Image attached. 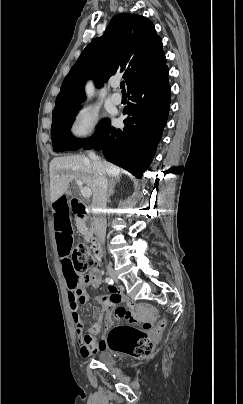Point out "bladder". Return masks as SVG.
Returning a JSON list of instances; mask_svg holds the SVG:
<instances>
[{"label":"bladder","instance_id":"31cf9c89","mask_svg":"<svg viewBox=\"0 0 243 404\" xmlns=\"http://www.w3.org/2000/svg\"><path fill=\"white\" fill-rule=\"evenodd\" d=\"M97 360L105 366H112L115 363L113 354L108 350L100 351L97 354Z\"/></svg>","mask_w":243,"mask_h":404}]
</instances>
